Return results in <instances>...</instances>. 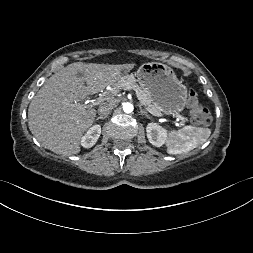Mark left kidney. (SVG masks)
Masks as SVG:
<instances>
[{
  "label": "left kidney",
  "instance_id": "5707ae66",
  "mask_svg": "<svg viewBox=\"0 0 253 253\" xmlns=\"http://www.w3.org/2000/svg\"><path fill=\"white\" fill-rule=\"evenodd\" d=\"M146 132L149 142L156 147H161L167 141V131L156 123H149Z\"/></svg>",
  "mask_w": 253,
  "mask_h": 253
}]
</instances>
